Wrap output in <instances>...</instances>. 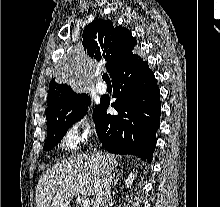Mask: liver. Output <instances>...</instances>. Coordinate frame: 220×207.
<instances>
[{
	"mask_svg": "<svg viewBox=\"0 0 220 207\" xmlns=\"http://www.w3.org/2000/svg\"><path fill=\"white\" fill-rule=\"evenodd\" d=\"M106 167L112 171L118 166L113 154H102ZM99 177L91 155L78 154L55 164L39 179L36 189V207H69L75 196L94 195Z\"/></svg>",
	"mask_w": 220,
	"mask_h": 207,
	"instance_id": "1",
	"label": "liver"
}]
</instances>
